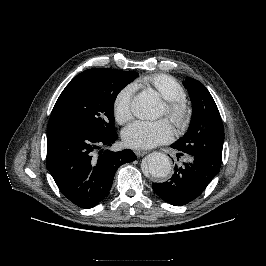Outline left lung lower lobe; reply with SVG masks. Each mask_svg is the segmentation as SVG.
Returning <instances> with one entry per match:
<instances>
[{"mask_svg": "<svg viewBox=\"0 0 266 266\" xmlns=\"http://www.w3.org/2000/svg\"><path fill=\"white\" fill-rule=\"evenodd\" d=\"M174 149L173 144L171 145ZM183 154H177V157ZM181 167L175 166V173L168 182L152 184L154 192L172 205H185L197 198L219 173L220 166L199 156L187 155Z\"/></svg>", "mask_w": 266, "mask_h": 266, "instance_id": "left-lung-lower-lobe-1", "label": "left lung lower lobe"}]
</instances>
